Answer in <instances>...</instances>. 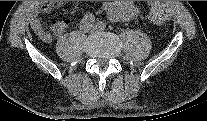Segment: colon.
I'll use <instances>...</instances> for the list:
<instances>
[{
	"mask_svg": "<svg viewBox=\"0 0 207 121\" xmlns=\"http://www.w3.org/2000/svg\"><path fill=\"white\" fill-rule=\"evenodd\" d=\"M147 16L151 22L157 25L166 23L170 18V9L167 3L152 1L148 5Z\"/></svg>",
	"mask_w": 207,
	"mask_h": 121,
	"instance_id": "1",
	"label": "colon"
}]
</instances>
